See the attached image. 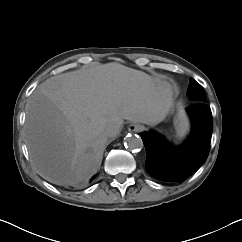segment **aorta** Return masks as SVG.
<instances>
[{
	"instance_id": "aorta-1",
	"label": "aorta",
	"mask_w": 242,
	"mask_h": 242,
	"mask_svg": "<svg viewBox=\"0 0 242 242\" xmlns=\"http://www.w3.org/2000/svg\"><path fill=\"white\" fill-rule=\"evenodd\" d=\"M125 145L130 150H138L143 147V141L138 135H128L125 139Z\"/></svg>"
}]
</instances>
